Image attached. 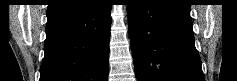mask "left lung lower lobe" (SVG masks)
Wrapping results in <instances>:
<instances>
[{
  "mask_svg": "<svg viewBox=\"0 0 237 81\" xmlns=\"http://www.w3.org/2000/svg\"><path fill=\"white\" fill-rule=\"evenodd\" d=\"M128 4L137 81H204L186 0Z\"/></svg>",
  "mask_w": 237,
  "mask_h": 81,
  "instance_id": "0a47b994",
  "label": "left lung lower lobe"
}]
</instances>
